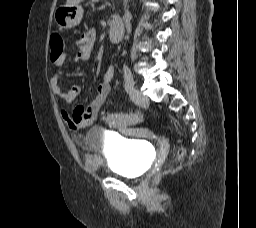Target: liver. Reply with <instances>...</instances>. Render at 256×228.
<instances>
[{"label":"liver","mask_w":256,"mask_h":228,"mask_svg":"<svg viewBox=\"0 0 256 228\" xmlns=\"http://www.w3.org/2000/svg\"><path fill=\"white\" fill-rule=\"evenodd\" d=\"M82 1H84V0H67L66 1V6L76 5V4H79Z\"/></svg>","instance_id":"1"}]
</instances>
